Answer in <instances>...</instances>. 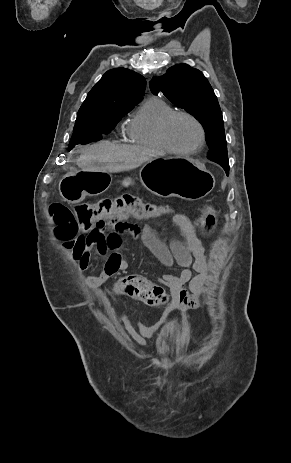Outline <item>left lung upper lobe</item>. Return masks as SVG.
<instances>
[{
  "mask_svg": "<svg viewBox=\"0 0 291 463\" xmlns=\"http://www.w3.org/2000/svg\"><path fill=\"white\" fill-rule=\"evenodd\" d=\"M153 94L162 93L202 124L210 147L208 158L228 163L222 112L217 97L201 71L187 64L175 65L150 82Z\"/></svg>",
  "mask_w": 291,
  "mask_h": 463,
  "instance_id": "obj_1",
  "label": "left lung upper lobe"
}]
</instances>
